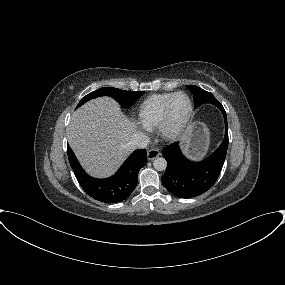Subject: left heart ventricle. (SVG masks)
Returning a JSON list of instances; mask_svg holds the SVG:
<instances>
[{
  "mask_svg": "<svg viewBox=\"0 0 285 285\" xmlns=\"http://www.w3.org/2000/svg\"><path fill=\"white\" fill-rule=\"evenodd\" d=\"M189 112V101L185 95L177 96L171 107V122L174 126L180 125Z\"/></svg>",
  "mask_w": 285,
  "mask_h": 285,
  "instance_id": "obj_1",
  "label": "left heart ventricle"
}]
</instances>
